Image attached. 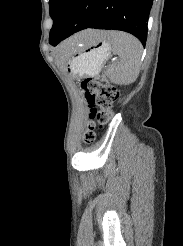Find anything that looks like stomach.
Listing matches in <instances>:
<instances>
[{
    "instance_id": "0dacf381",
    "label": "stomach",
    "mask_w": 183,
    "mask_h": 246,
    "mask_svg": "<svg viewBox=\"0 0 183 246\" xmlns=\"http://www.w3.org/2000/svg\"><path fill=\"white\" fill-rule=\"evenodd\" d=\"M104 36L84 45L77 55L69 60V71L73 76L95 75L110 55L111 46Z\"/></svg>"
}]
</instances>
